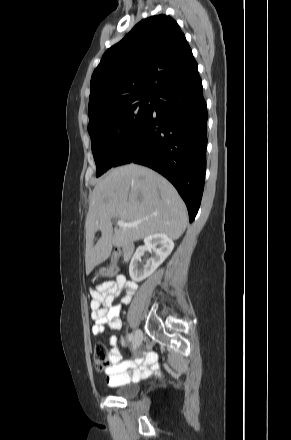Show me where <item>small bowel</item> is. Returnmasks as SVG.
<instances>
[{"instance_id":"1","label":"small bowel","mask_w":291,"mask_h":440,"mask_svg":"<svg viewBox=\"0 0 291 440\" xmlns=\"http://www.w3.org/2000/svg\"><path fill=\"white\" fill-rule=\"evenodd\" d=\"M125 288V295L121 303L113 306L114 298L120 290ZM137 285L120 275L114 281H105L89 287L91 300V317L94 321L92 333L96 336L107 334L111 330L120 329L122 322L119 318L120 310L128 305L135 293ZM124 344L125 341L121 340ZM109 363L105 368L107 383L110 386H119L129 381H135L146 377L157 370L156 358L153 354H144L136 357L133 361L122 362L120 350L117 346V338L109 339Z\"/></svg>"}]
</instances>
